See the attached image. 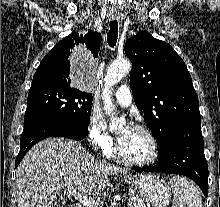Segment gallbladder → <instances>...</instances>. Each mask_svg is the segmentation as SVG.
<instances>
[{
	"mask_svg": "<svg viewBox=\"0 0 220 207\" xmlns=\"http://www.w3.org/2000/svg\"><path fill=\"white\" fill-rule=\"evenodd\" d=\"M53 207H61V205L59 203H56L53 205Z\"/></svg>",
	"mask_w": 220,
	"mask_h": 207,
	"instance_id": "gallbladder-1",
	"label": "gallbladder"
}]
</instances>
